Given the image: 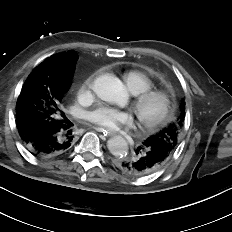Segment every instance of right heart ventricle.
<instances>
[{"label":"right heart ventricle","instance_id":"obj_1","mask_svg":"<svg viewBox=\"0 0 232 232\" xmlns=\"http://www.w3.org/2000/svg\"><path fill=\"white\" fill-rule=\"evenodd\" d=\"M127 89L134 95L153 87V81L145 73L131 70L123 75Z\"/></svg>","mask_w":232,"mask_h":232}]
</instances>
